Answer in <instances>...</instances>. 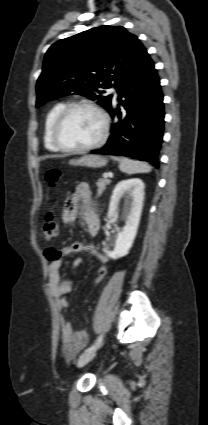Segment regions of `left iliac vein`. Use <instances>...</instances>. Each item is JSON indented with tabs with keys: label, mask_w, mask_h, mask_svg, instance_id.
Returning <instances> with one entry per match:
<instances>
[{
	"label": "left iliac vein",
	"mask_w": 208,
	"mask_h": 425,
	"mask_svg": "<svg viewBox=\"0 0 208 425\" xmlns=\"http://www.w3.org/2000/svg\"><path fill=\"white\" fill-rule=\"evenodd\" d=\"M96 351L97 349L83 353L77 360L78 367H82L90 362L95 357Z\"/></svg>",
	"instance_id": "obj_1"
}]
</instances>
